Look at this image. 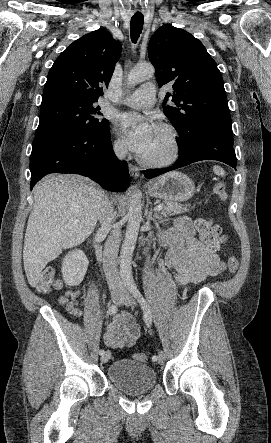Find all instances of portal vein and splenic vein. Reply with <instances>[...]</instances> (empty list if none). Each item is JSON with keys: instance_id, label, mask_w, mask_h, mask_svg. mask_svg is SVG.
Listing matches in <instances>:
<instances>
[{"instance_id": "obj_1", "label": "portal vein and splenic vein", "mask_w": 271, "mask_h": 443, "mask_svg": "<svg viewBox=\"0 0 271 443\" xmlns=\"http://www.w3.org/2000/svg\"><path fill=\"white\" fill-rule=\"evenodd\" d=\"M154 210L155 212H160V210H163V206H161V204L160 206H155Z\"/></svg>"}]
</instances>
